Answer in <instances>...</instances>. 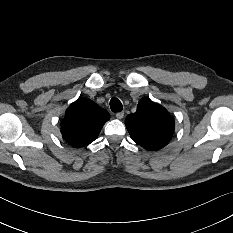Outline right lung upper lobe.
Wrapping results in <instances>:
<instances>
[{
  "label": "right lung upper lobe",
  "mask_w": 233,
  "mask_h": 233,
  "mask_svg": "<svg viewBox=\"0 0 233 233\" xmlns=\"http://www.w3.org/2000/svg\"><path fill=\"white\" fill-rule=\"evenodd\" d=\"M107 110L87 99L77 100L66 110L61 121L63 138L74 147H83L97 139L103 125L109 120Z\"/></svg>",
  "instance_id": "1"
}]
</instances>
